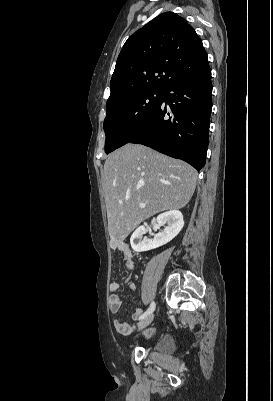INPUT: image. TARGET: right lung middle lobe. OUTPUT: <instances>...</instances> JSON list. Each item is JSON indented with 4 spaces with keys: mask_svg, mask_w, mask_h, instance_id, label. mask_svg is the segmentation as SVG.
<instances>
[{
    "mask_svg": "<svg viewBox=\"0 0 273 401\" xmlns=\"http://www.w3.org/2000/svg\"><path fill=\"white\" fill-rule=\"evenodd\" d=\"M162 90L142 91L107 106L104 120L105 152L129 142L162 101Z\"/></svg>",
    "mask_w": 273,
    "mask_h": 401,
    "instance_id": "obj_1",
    "label": "right lung middle lobe"
}]
</instances>
